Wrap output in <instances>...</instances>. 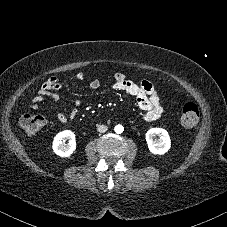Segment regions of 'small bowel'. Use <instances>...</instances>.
Instances as JSON below:
<instances>
[{"label":"small bowel","instance_id":"small-bowel-1","mask_svg":"<svg viewBox=\"0 0 227 227\" xmlns=\"http://www.w3.org/2000/svg\"><path fill=\"white\" fill-rule=\"evenodd\" d=\"M84 78L82 73L75 76L76 81H81ZM100 87V80L94 79L90 82V90H97ZM62 88L61 83L55 76L50 77L42 83L37 91L36 96L30 102V108L38 110L45 101L58 102L60 96L58 91ZM111 89L114 91H123L137 100L139 109L143 112L144 119L154 121L160 118L163 113V107L160 103V98L156 87L148 80H142L139 83L128 80L122 73H117L113 77ZM80 111V101L77 99L69 111V113L60 112L57 115L58 121L61 124H67L70 120L77 117Z\"/></svg>","mask_w":227,"mask_h":227}]
</instances>
